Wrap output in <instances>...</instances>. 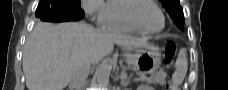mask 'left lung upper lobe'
Returning <instances> with one entry per match:
<instances>
[{
  "label": "left lung upper lobe",
  "mask_w": 228,
  "mask_h": 90,
  "mask_svg": "<svg viewBox=\"0 0 228 90\" xmlns=\"http://www.w3.org/2000/svg\"><path fill=\"white\" fill-rule=\"evenodd\" d=\"M165 9L168 11L175 24L183 30L184 28V17L183 9L180 6L179 0H160Z\"/></svg>",
  "instance_id": "5c2ea615"
}]
</instances>
